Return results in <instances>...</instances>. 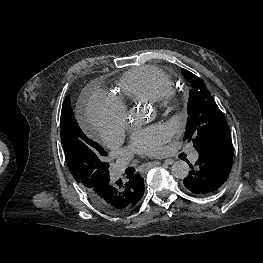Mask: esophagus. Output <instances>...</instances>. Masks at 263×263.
I'll return each instance as SVG.
<instances>
[{
    "instance_id": "obj_1",
    "label": "esophagus",
    "mask_w": 263,
    "mask_h": 263,
    "mask_svg": "<svg viewBox=\"0 0 263 263\" xmlns=\"http://www.w3.org/2000/svg\"><path fill=\"white\" fill-rule=\"evenodd\" d=\"M172 162H168V164H171ZM160 164V162L159 161H153V162H149L148 164H147V166L149 167V168H151V167H154V166H156V165H159Z\"/></svg>"
}]
</instances>
